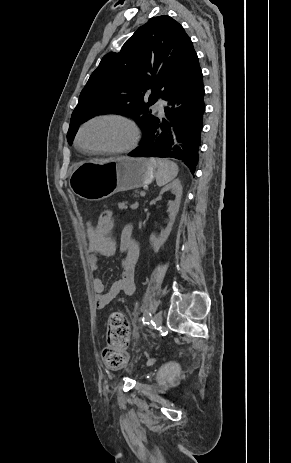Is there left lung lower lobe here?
I'll return each mask as SVG.
<instances>
[{"mask_svg": "<svg viewBox=\"0 0 291 463\" xmlns=\"http://www.w3.org/2000/svg\"><path fill=\"white\" fill-rule=\"evenodd\" d=\"M204 94L199 67L164 97L165 118H154L139 147L129 156L175 158L185 163L193 174L201 146Z\"/></svg>", "mask_w": 291, "mask_h": 463, "instance_id": "0a47b994", "label": "left lung lower lobe"}]
</instances>
